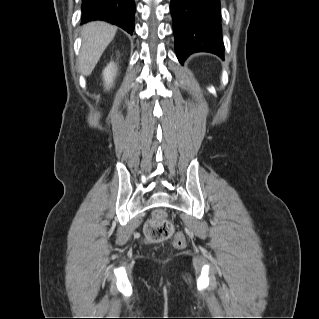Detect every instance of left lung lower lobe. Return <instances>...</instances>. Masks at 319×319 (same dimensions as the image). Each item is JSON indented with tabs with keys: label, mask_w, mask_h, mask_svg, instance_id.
<instances>
[{
	"label": "left lung lower lobe",
	"mask_w": 319,
	"mask_h": 319,
	"mask_svg": "<svg viewBox=\"0 0 319 319\" xmlns=\"http://www.w3.org/2000/svg\"><path fill=\"white\" fill-rule=\"evenodd\" d=\"M170 10L180 63L195 52L224 58L220 0H171Z\"/></svg>",
	"instance_id": "0a47b994"
}]
</instances>
